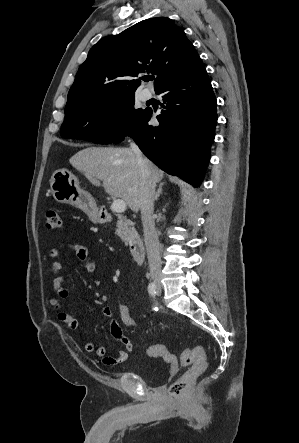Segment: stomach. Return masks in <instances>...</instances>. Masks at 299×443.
<instances>
[{"mask_svg": "<svg viewBox=\"0 0 299 443\" xmlns=\"http://www.w3.org/2000/svg\"><path fill=\"white\" fill-rule=\"evenodd\" d=\"M51 193L62 204H70L85 211L93 222H103L94 198L79 187V181L67 169L56 170L50 179Z\"/></svg>", "mask_w": 299, "mask_h": 443, "instance_id": "stomach-1", "label": "stomach"}]
</instances>
